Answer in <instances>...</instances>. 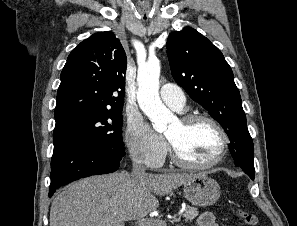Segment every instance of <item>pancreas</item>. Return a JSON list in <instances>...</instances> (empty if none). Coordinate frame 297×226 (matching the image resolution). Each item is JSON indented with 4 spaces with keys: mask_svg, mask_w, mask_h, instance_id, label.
Segmentation results:
<instances>
[{
    "mask_svg": "<svg viewBox=\"0 0 297 226\" xmlns=\"http://www.w3.org/2000/svg\"><path fill=\"white\" fill-rule=\"evenodd\" d=\"M198 214H199V212H198L197 208L187 205L185 208L183 217L186 222L187 221L192 222L198 216ZM152 226H166V222L163 220H157V222L155 224H153Z\"/></svg>",
    "mask_w": 297,
    "mask_h": 226,
    "instance_id": "pancreas-1",
    "label": "pancreas"
}]
</instances>
